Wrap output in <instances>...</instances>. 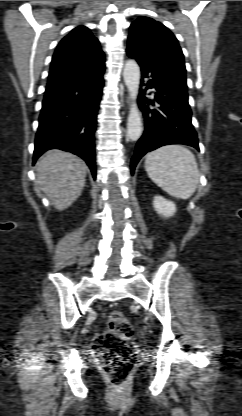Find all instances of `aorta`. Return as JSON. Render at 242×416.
<instances>
[{"instance_id":"aorta-1","label":"aorta","mask_w":242,"mask_h":416,"mask_svg":"<svg viewBox=\"0 0 242 416\" xmlns=\"http://www.w3.org/2000/svg\"><path fill=\"white\" fill-rule=\"evenodd\" d=\"M124 82L132 99V106L127 120V136L132 141H137L143 131L141 115L136 103L139 84L140 67L135 60H128L123 70Z\"/></svg>"}]
</instances>
